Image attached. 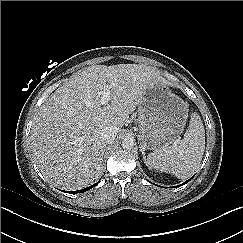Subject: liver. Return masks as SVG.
<instances>
[{"mask_svg":"<svg viewBox=\"0 0 243 243\" xmlns=\"http://www.w3.org/2000/svg\"><path fill=\"white\" fill-rule=\"evenodd\" d=\"M155 82L170 85L144 64L92 65L71 77L40 107L31 128L30 148L42 175L64 190L93 184L102 172V132L121 129ZM107 86L110 103L102 105Z\"/></svg>","mask_w":243,"mask_h":243,"instance_id":"obj_1","label":"liver"}]
</instances>
